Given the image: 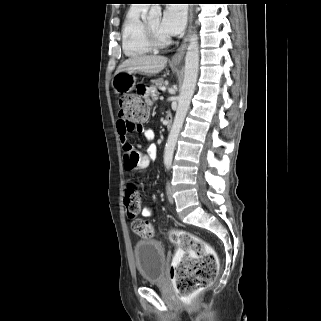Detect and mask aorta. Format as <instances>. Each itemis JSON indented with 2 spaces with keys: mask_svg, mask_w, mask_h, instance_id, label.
I'll return each instance as SVG.
<instances>
[{
  "mask_svg": "<svg viewBox=\"0 0 321 321\" xmlns=\"http://www.w3.org/2000/svg\"><path fill=\"white\" fill-rule=\"evenodd\" d=\"M149 15L156 17L161 15L159 4H152ZM199 71V44L196 32H192L189 38V44L185 56L184 80L178 98V107L172 128L170 130L167 143L165 146L164 163L170 164L173 159L174 149L180 130L183 126L184 119L190 106L192 96L196 87V81Z\"/></svg>",
  "mask_w": 321,
  "mask_h": 321,
  "instance_id": "aorta-1",
  "label": "aorta"
}]
</instances>
